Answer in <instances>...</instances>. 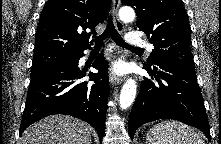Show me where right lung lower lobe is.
<instances>
[{
    "label": "right lung lower lobe",
    "mask_w": 221,
    "mask_h": 144,
    "mask_svg": "<svg viewBox=\"0 0 221 144\" xmlns=\"http://www.w3.org/2000/svg\"><path fill=\"white\" fill-rule=\"evenodd\" d=\"M83 56L82 50L70 61L31 77L20 135L46 116L66 114L92 125L102 142L109 95L108 63L99 55L92 65L98 73L89 72V81H82L86 71L78 68V62Z\"/></svg>",
    "instance_id": "obj_1"
}]
</instances>
